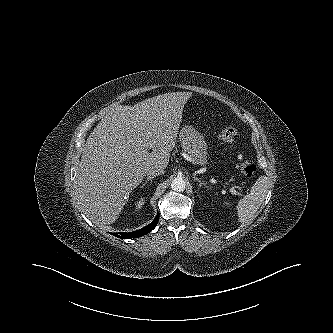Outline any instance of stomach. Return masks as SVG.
Masks as SVG:
<instances>
[{"label":"stomach","mask_w":333,"mask_h":333,"mask_svg":"<svg viewBox=\"0 0 333 333\" xmlns=\"http://www.w3.org/2000/svg\"><path fill=\"white\" fill-rule=\"evenodd\" d=\"M182 149L193 163L204 166L207 163V144L204 137L191 125H183L179 132Z\"/></svg>","instance_id":"0dacf381"}]
</instances>
